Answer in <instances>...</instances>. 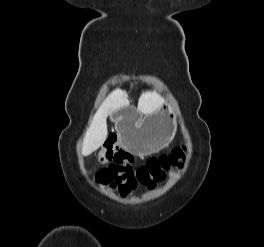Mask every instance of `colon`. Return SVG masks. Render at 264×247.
I'll use <instances>...</instances> for the list:
<instances>
[{
	"label": "colon",
	"mask_w": 264,
	"mask_h": 247,
	"mask_svg": "<svg viewBox=\"0 0 264 247\" xmlns=\"http://www.w3.org/2000/svg\"><path fill=\"white\" fill-rule=\"evenodd\" d=\"M116 142L117 136L110 133L105 147L99 152V159L102 163L111 162V165L97 169L95 178L102 184H109L118 189L123 195L130 193L138 184L153 187L155 183L162 182L167 172L180 164L183 158V150L176 148L172 153L153 158L134 171V156L120 148Z\"/></svg>",
	"instance_id": "1"
}]
</instances>
